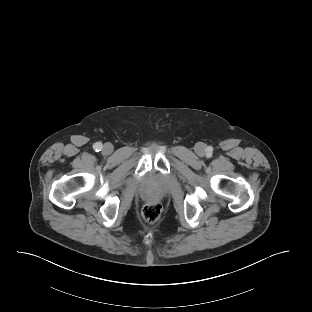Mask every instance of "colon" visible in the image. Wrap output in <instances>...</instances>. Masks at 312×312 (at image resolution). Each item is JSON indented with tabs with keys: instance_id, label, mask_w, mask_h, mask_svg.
I'll return each mask as SVG.
<instances>
[{
	"instance_id": "obj_1",
	"label": "colon",
	"mask_w": 312,
	"mask_h": 312,
	"mask_svg": "<svg viewBox=\"0 0 312 312\" xmlns=\"http://www.w3.org/2000/svg\"><path fill=\"white\" fill-rule=\"evenodd\" d=\"M161 215V205L156 202L147 203L142 210V216L148 223L156 222Z\"/></svg>"
}]
</instances>
